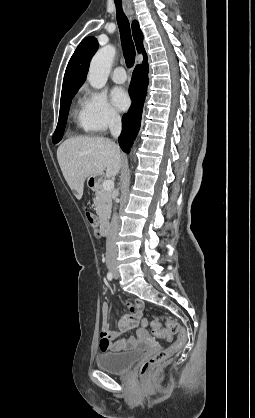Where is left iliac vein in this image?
Returning <instances> with one entry per match:
<instances>
[{"label":"left iliac vein","mask_w":255,"mask_h":418,"mask_svg":"<svg viewBox=\"0 0 255 418\" xmlns=\"http://www.w3.org/2000/svg\"><path fill=\"white\" fill-rule=\"evenodd\" d=\"M114 277H115V279H117V278L119 277V273H118V271H115V273H114Z\"/></svg>","instance_id":"obj_1"}]
</instances>
